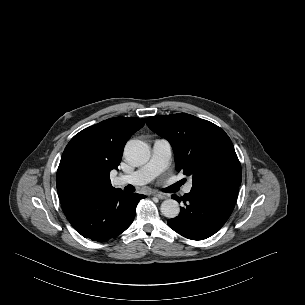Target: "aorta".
<instances>
[{
  "label": "aorta",
  "instance_id": "obj_1",
  "mask_svg": "<svg viewBox=\"0 0 305 305\" xmlns=\"http://www.w3.org/2000/svg\"><path fill=\"white\" fill-rule=\"evenodd\" d=\"M125 158L133 165L145 164L150 158L148 145L141 140H130L124 148ZM161 213L163 216L171 219L178 216L180 207L177 201L167 199L161 204Z\"/></svg>",
  "mask_w": 305,
  "mask_h": 305
}]
</instances>
